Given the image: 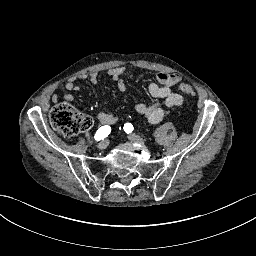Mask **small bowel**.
<instances>
[{
	"mask_svg": "<svg viewBox=\"0 0 256 256\" xmlns=\"http://www.w3.org/2000/svg\"><path fill=\"white\" fill-rule=\"evenodd\" d=\"M124 73L125 68L123 66L115 67L108 71V75L116 82L118 89L121 91L127 89L126 84L122 80ZM80 78L87 79L92 84H97L99 75L97 72H91L81 75ZM156 80L157 82L149 84V93L153 98L162 102L158 101L153 104L140 103L135 106L136 113L143 116L151 124H157L164 118L166 108L180 106L184 101L181 94L173 91L174 87L180 82V78L177 75L160 72L157 74ZM65 89L67 93L63 96V99L67 102L73 101L74 95L72 93L79 90L76 81H68ZM180 90H182L181 85ZM58 100V96L55 95L52 97L53 102H57ZM96 117L103 124L114 125L117 122V117L108 111H100Z\"/></svg>",
	"mask_w": 256,
	"mask_h": 256,
	"instance_id": "1",
	"label": "small bowel"
}]
</instances>
